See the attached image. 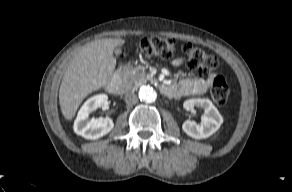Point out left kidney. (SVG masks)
<instances>
[{
    "label": "left kidney",
    "instance_id": "obj_1",
    "mask_svg": "<svg viewBox=\"0 0 292 192\" xmlns=\"http://www.w3.org/2000/svg\"><path fill=\"white\" fill-rule=\"evenodd\" d=\"M183 106L186 110L194 109V107L204 109L205 114L201 117V124L186 120L182 125L183 131L194 139L210 137L223 123L221 114L209 99H189L184 102Z\"/></svg>",
    "mask_w": 292,
    "mask_h": 192
}]
</instances>
